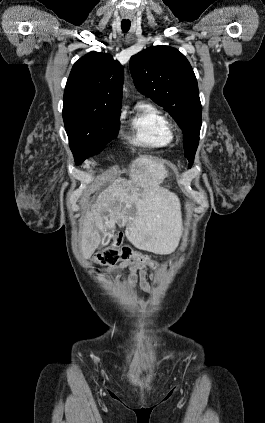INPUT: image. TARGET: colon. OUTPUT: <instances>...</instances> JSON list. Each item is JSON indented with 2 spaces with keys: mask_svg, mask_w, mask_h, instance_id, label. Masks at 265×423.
<instances>
[{
  "mask_svg": "<svg viewBox=\"0 0 265 423\" xmlns=\"http://www.w3.org/2000/svg\"><path fill=\"white\" fill-rule=\"evenodd\" d=\"M95 261L100 265H113L119 261L135 262L152 268L157 265L149 256L122 245V234H117L112 246L99 252L95 256Z\"/></svg>",
  "mask_w": 265,
  "mask_h": 423,
  "instance_id": "obj_1",
  "label": "colon"
}]
</instances>
